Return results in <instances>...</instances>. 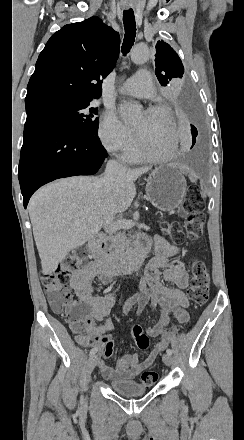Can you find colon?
Returning <instances> with one entry per match:
<instances>
[{
  "label": "colon",
  "instance_id": "colon-1",
  "mask_svg": "<svg viewBox=\"0 0 244 440\" xmlns=\"http://www.w3.org/2000/svg\"><path fill=\"white\" fill-rule=\"evenodd\" d=\"M185 219L186 229L189 239L199 238L204 229L205 214L204 205L197 191L190 190L188 198L182 211ZM173 230V239H182V222L172 221L170 223L163 221L160 224L161 229L170 228ZM68 259L57 265L54 272L41 274V284L47 294L51 308L55 313L63 314L71 324L75 333L80 334L86 331L91 323L86 314H90V305H80L74 303L71 290L67 287L68 276L78 270V267H85L90 254L88 248H70ZM191 286L188 291L190 300L197 306L206 304L209 298L210 275L206 265L200 259H193L190 262ZM143 327L137 326L134 330L136 335L137 347L140 350H147L150 345L149 337L143 333ZM158 376L153 370H145L142 373V383L150 386Z\"/></svg>",
  "mask_w": 244,
  "mask_h": 440
}]
</instances>
